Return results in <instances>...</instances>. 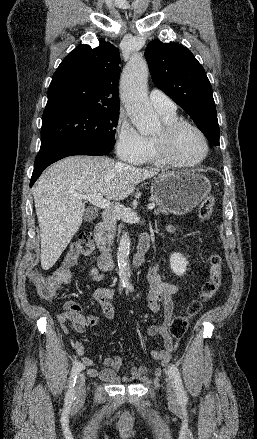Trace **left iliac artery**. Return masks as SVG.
<instances>
[{"label":"left iliac artery","mask_w":257,"mask_h":439,"mask_svg":"<svg viewBox=\"0 0 257 439\" xmlns=\"http://www.w3.org/2000/svg\"><path fill=\"white\" fill-rule=\"evenodd\" d=\"M127 288L130 290L133 289L132 285H127ZM168 371L174 379L179 400L181 402L187 401V397H186V393H185V390H184V387L182 384V379H181V374H180L179 369L175 365H170Z\"/></svg>","instance_id":"44dca946"}]
</instances>
